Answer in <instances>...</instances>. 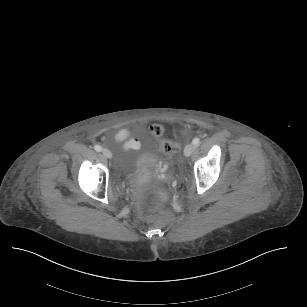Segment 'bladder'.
Returning <instances> with one entry per match:
<instances>
[{
    "label": "bladder",
    "instance_id": "1",
    "mask_svg": "<svg viewBox=\"0 0 307 307\" xmlns=\"http://www.w3.org/2000/svg\"><path fill=\"white\" fill-rule=\"evenodd\" d=\"M153 154L141 147L128 149L121 160V168L127 174L136 173L140 170L151 158Z\"/></svg>",
    "mask_w": 307,
    "mask_h": 307
}]
</instances>
